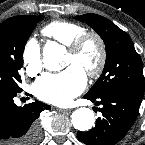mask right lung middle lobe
Returning a JSON list of instances; mask_svg holds the SVG:
<instances>
[{"label":"right lung middle lobe","instance_id":"dd1d6c3e","mask_svg":"<svg viewBox=\"0 0 145 145\" xmlns=\"http://www.w3.org/2000/svg\"><path fill=\"white\" fill-rule=\"evenodd\" d=\"M44 16H29L8 26H0V87L22 90L20 70L23 50L33 29Z\"/></svg>","mask_w":145,"mask_h":145}]
</instances>
